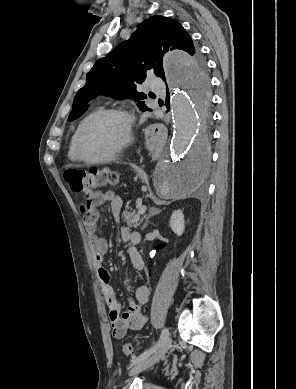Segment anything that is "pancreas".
<instances>
[{
  "instance_id": "obj_1",
  "label": "pancreas",
  "mask_w": 296,
  "mask_h": 389,
  "mask_svg": "<svg viewBox=\"0 0 296 389\" xmlns=\"http://www.w3.org/2000/svg\"><path fill=\"white\" fill-rule=\"evenodd\" d=\"M122 218L124 219V221L127 222L128 226L136 228V227H138L140 225V223L143 221L145 216L141 217L138 212L137 213L135 211L128 212V211L125 210L123 212Z\"/></svg>"
}]
</instances>
